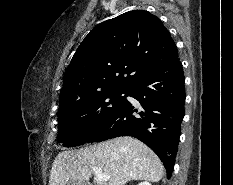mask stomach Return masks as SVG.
Segmentation results:
<instances>
[{
  "label": "stomach",
  "instance_id": "0dacf381",
  "mask_svg": "<svg viewBox=\"0 0 233 185\" xmlns=\"http://www.w3.org/2000/svg\"><path fill=\"white\" fill-rule=\"evenodd\" d=\"M66 185H87V183L79 181H69Z\"/></svg>",
  "mask_w": 233,
  "mask_h": 185
}]
</instances>
